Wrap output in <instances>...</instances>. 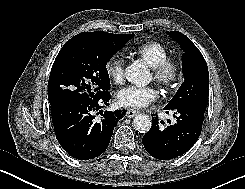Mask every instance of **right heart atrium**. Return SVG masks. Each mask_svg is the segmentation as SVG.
Segmentation results:
<instances>
[{"mask_svg": "<svg viewBox=\"0 0 245 189\" xmlns=\"http://www.w3.org/2000/svg\"><path fill=\"white\" fill-rule=\"evenodd\" d=\"M105 71L113 82L122 83L124 81V60L119 56L111 57L105 63Z\"/></svg>", "mask_w": 245, "mask_h": 189, "instance_id": "obj_1", "label": "right heart atrium"}]
</instances>
